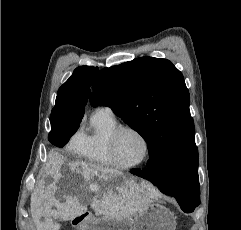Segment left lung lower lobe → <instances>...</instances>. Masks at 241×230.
<instances>
[{"label": "left lung lower lobe", "mask_w": 241, "mask_h": 230, "mask_svg": "<svg viewBox=\"0 0 241 230\" xmlns=\"http://www.w3.org/2000/svg\"><path fill=\"white\" fill-rule=\"evenodd\" d=\"M168 171V161L162 156L152 155L147 162V169H134L130 172L151 181L154 185L158 186L161 192L174 196L184 212H193L200 204V185L198 176L187 185L184 190L173 193L167 188Z\"/></svg>", "instance_id": "obj_1"}]
</instances>
